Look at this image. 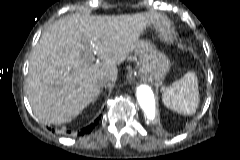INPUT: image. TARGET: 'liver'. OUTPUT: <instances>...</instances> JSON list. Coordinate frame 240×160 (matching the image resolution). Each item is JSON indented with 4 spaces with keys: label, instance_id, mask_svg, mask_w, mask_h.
Returning a JSON list of instances; mask_svg holds the SVG:
<instances>
[{
    "label": "liver",
    "instance_id": "liver-1",
    "mask_svg": "<svg viewBox=\"0 0 240 160\" xmlns=\"http://www.w3.org/2000/svg\"><path fill=\"white\" fill-rule=\"evenodd\" d=\"M161 34L168 24L155 12L120 16L73 15L43 33L32 52L27 94L45 124L68 123L100 94L101 80L117 79V65L141 46L146 28ZM97 56L101 61L94 63Z\"/></svg>",
    "mask_w": 240,
    "mask_h": 160
}]
</instances>
